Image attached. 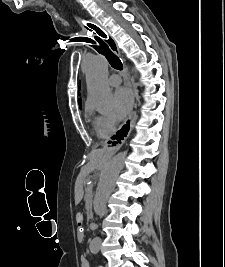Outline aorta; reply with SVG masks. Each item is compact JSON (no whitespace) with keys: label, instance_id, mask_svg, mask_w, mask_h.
I'll return each instance as SVG.
<instances>
[{"label":"aorta","instance_id":"1","mask_svg":"<svg viewBox=\"0 0 225 267\" xmlns=\"http://www.w3.org/2000/svg\"><path fill=\"white\" fill-rule=\"evenodd\" d=\"M108 61L103 56H94L86 63V82L88 87V103L99 112H106L113 104V96L107 83ZM127 152L115 155L100 175L94 196L93 207L97 215L106 211L108 197L113 190L117 177L123 168ZM101 245L100 238L90 243L91 251H97Z\"/></svg>","mask_w":225,"mask_h":267}]
</instances>
